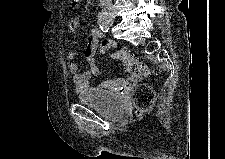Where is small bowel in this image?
Listing matches in <instances>:
<instances>
[{
    "instance_id": "1",
    "label": "small bowel",
    "mask_w": 225,
    "mask_h": 159,
    "mask_svg": "<svg viewBox=\"0 0 225 159\" xmlns=\"http://www.w3.org/2000/svg\"><path fill=\"white\" fill-rule=\"evenodd\" d=\"M78 22L74 19L70 23L71 32H75ZM116 48V43L112 40L104 38V33L99 28H94L88 38L86 47L84 49L83 55L86 62L89 64V69L84 72L79 71V66L74 59L78 56V52L75 50H70L67 53V59L70 61L69 71L72 74L73 84L75 85L78 92L88 86L91 79L96 76L99 72L97 56L99 51L108 50ZM124 83V80L117 81H106L102 84L106 88H114L117 85ZM130 83V81H129Z\"/></svg>"
}]
</instances>
